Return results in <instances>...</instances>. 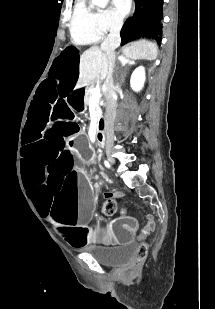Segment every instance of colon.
<instances>
[{
	"label": "colon",
	"instance_id": "obj_1",
	"mask_svg": "<svg viewBox=\"0 0 215 309\" xmlns=\"http://www.w3.org/2000/svg\"><path fill=\"white\" fill-rule=\"evenodd\" d=\"M117 209V199L114 194L107 193L105 195V201L102 207V213L104 216H113ZM148 246L146 244H140L137 250V256L139 258H144L147 255Z\"/></svg>",
	"mask_w": 215,
	"mask_h": 309
}]
</instances>
